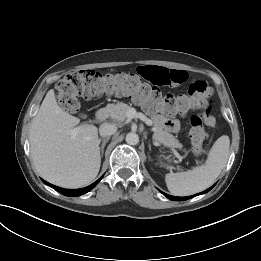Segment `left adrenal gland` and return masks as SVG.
<instances>
[{
    "label": "left adrenal gland",
    "instance_id": "obj_1",
    "mask_svg": "<svg viewBox=\"0 0 261 261\" xmlns=\"http://www.w3.org/2000/svg\"><path fill=\"white\" fill-rule=\"evenodd\" d=\"M149 150H151V146L149 145ZM149 157V159L151 160V158H150V156H148Z\"/></svg>",
    "mask_w": 261,
    "mask_h": 261
}]
</instances>
